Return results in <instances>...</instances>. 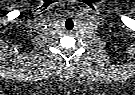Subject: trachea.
<instances>
[{
  "mask_svg": "<svg viewBox=\"0 0 135 95\" xmlns=\"http://www.w3.org/2000/svg\"><path fill=\"white\" fill-rule=\"evenodd\" d=\"M73 21L71 19H67L66 22H65V27L68 29V30H71L73 28Z\"/></svg>",
  "mask_w": 135,
  "mask_h": 95,
  "instance_id": "1",
  "label": "trachea"
}]
</instances>
